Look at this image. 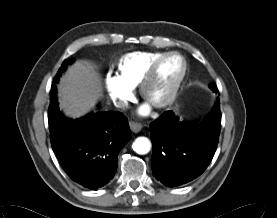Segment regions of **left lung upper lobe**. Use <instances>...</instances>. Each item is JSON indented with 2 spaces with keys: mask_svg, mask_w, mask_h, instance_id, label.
Masks as SVG:
<instances>
[{
  "mask_svg": "<svg viewBox=\"0 0 277 218\" xmlns=\"http://www.w3.org/2000/svg\"><path fill=\"white\" fill-rule=\"evenodd\" d=\"M210 88H211L214 92H217V91H218L217 87L214 86V85H210Z\"/></svg>",
  "mask_w": 277,
  "mask_h": 218,
  "instance_id": "5c2ea615",
  "label": "left lung upper lobe"
}]
</instances>
